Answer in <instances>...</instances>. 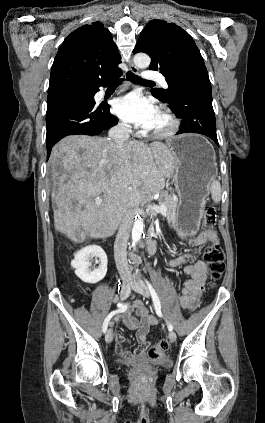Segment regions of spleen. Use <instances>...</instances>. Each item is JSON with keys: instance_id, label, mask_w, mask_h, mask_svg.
<instances>
[{"instance_id": "1", "label": "spleen", "mask_w": 265, "mask_h": 423, "mask_svg": "<svg viewBox=\"0 0 265 423\" xmlns=\"http://www.w3.org/2000/svg\"><path fill=\"white\" fill-rule=\"evenodd\" d=\"M210 191H211V198L214 201V203H218L221 200V185L218 180H213L210 185Z\"/></svg>"}]
</instances>
